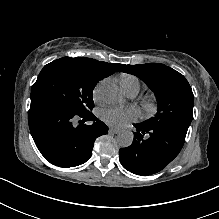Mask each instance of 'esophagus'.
<instances>
[{
    "label": "esophagus",
    "instance_id": "34e87169",
    "mask_svg": "<svg viewBox=\"0 0 219 219\" xmlns=\"http://www.w3.org/2000/svg\"><path fill=\"white\" fill-rule=\"evenodd\" d=\"M120 131H119V129H117V128H110L109 129V133H111V134H118Z\"/></svg>",
    "mask_w": 219,
    "mask_h": 219
}]
</instances>
